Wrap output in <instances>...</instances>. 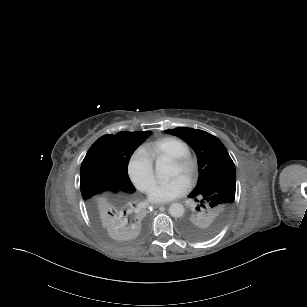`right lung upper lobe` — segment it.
I'll return each instance as SVG.
<instances>
[{
	"instance_id": "right-lung-upper-lobe-1",
	"label": "right lung upper lobe",
	"mask_w": 307,
	"mask_h": 307,
	"mask_svg": "<svg viewBox=\"0 0 307 307\" xmlns=\"http://www.w3.org/2000/svg\"><path fill=\"white\" fill-rule=\"evenodd\" d=\"M151 133L121 131L116 135H104L87 152L110 166L116 176L111 188L83 199L95 222L104 230L139 234L147 226V210L134 194L127 168L133 151Z\"/></svg>"
}]
</instances>
